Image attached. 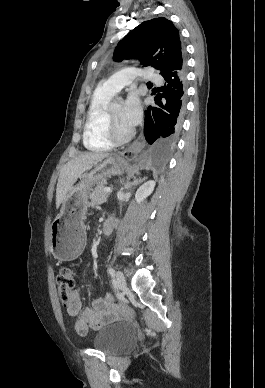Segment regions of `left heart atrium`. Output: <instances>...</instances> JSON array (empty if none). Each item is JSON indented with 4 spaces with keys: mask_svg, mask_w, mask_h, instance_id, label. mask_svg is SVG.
Wrapping results in <instances>:
<instances>
[{
    "mask_svg": "<svg viewBox=\"0 0 265 388\" xmlns=\"http://www.w3.org/2000/svg\"><path fill=\"white\" fill-rule=\"evenodd\" d=\"M141 104L139 98L135 94H131L125 101L122 109V122L128 127L135 126L141 118Z\"/></svg>",
    "mask_w": 265,
    "mask_h": 388,
    "instance_id": "obj_1",
    "label": "left heart atrium"
}]
</instances>
